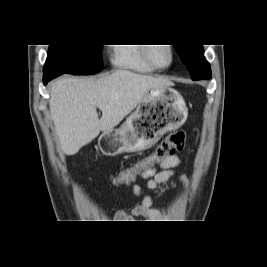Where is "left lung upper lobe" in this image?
<instances>
[{
    "label": "left lung upper lobe",
    "mask_w": 267,
    "mask_h": 267,
    "mask_svg": "<svg viewBox=\"0 0 267 267\" xmlns=\"http://www.w3.org/2000/svg\"><path fill=\"white\" fill-rule=\"evenodd\" d=\"M174 47L193 80L211 78L210 65L204 57L202 45H174Z\"/></svg>",
    "instance_id": "5c2ea615"
}]
</instances>
